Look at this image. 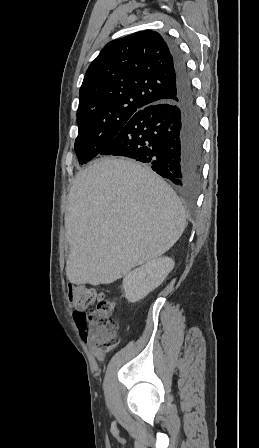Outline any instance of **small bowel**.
Returning a JSON list of instances; mask_svg holds the SVG:
<instances>
[{
  "mask_svg": "<svg viewBox=\"0 0 259 448\" xmlns=\"http://www.w3.org/2000/svg\"><path fill=\"white\" fill-rule=\"evenodd\" d=\"M69 298H70V301L74 303V299H73V296H72V292H71V291H70V293H69ZM92 353H93V355H94L98 360H103V353H102V351H101L100 349H98L97 347H93V348H92Z\"/></svg>",
  "mask_w": 259,
  "mask_h": 448,
  "instance_id": "1",
  "label": "small bowel"
}]
</instances>
